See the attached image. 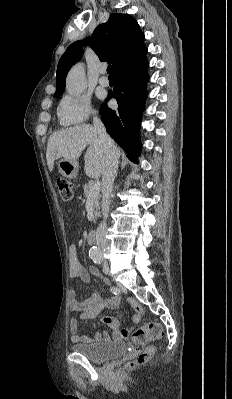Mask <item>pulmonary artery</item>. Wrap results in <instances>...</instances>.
I'll return each mask as SVG.
<instances>
[{
  "mask_svg": "<svg viewBox=\"0 0 232 399\" xmlns=\"http://www.w3.org/2000/svg\"><path fill=\"white\" fill-rule=\"evenodd\" d=\"M99 74H100V79H99L98 88L100 90H103L105 87H107L109 85V81L104 77V75L106 74V70L105 69H101L99 71Z\"/></svg>",
  "mask_w": 232,
  "mask_h": 399,
  "instance_id": "pulmonary-artery-1",
  "label": "pulmonary artery"
}]
</instances>
